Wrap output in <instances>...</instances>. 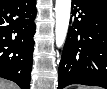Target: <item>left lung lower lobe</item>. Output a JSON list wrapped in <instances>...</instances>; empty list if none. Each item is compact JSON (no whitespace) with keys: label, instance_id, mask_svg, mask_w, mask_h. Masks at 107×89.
Returning a JSON list of instances; mask_svg holds the SVG:
<instances>
[{"label":"left lung lower lobe","instance_id":"0a47b994","mask_svg":"<svg viewBox=\"0 0 107 89\" xmlns=\"http://www.w3.org/2000/svg\"><path fill=\"white\" fill-rule=\"evenodd\" d=\"M58 77V89L71 84L107 88V5L74 0Z\"/></svg>","mask_w":107,"mask_h":89}]
</instances>
